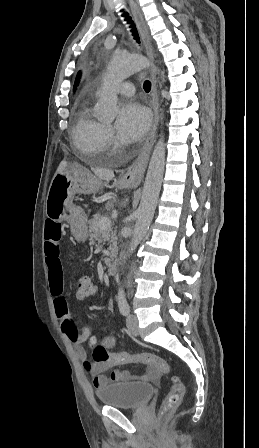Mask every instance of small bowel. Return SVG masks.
<instances>
[{"instance_id":"small-bowel-1","label":"small bowel","mask_w":259,"mask_h":448,"mask_svg":"<svg viewBox=\"0 0 259 448\" xmlns=\"http://www.w3.org/2000/svg\"><path fill=\"white\" fill-rule=\"evenodd\" d=\"M62 235L61 224L48 220L44 227V255L45 264L48 269L50 291L53 296V305L57 319L60 321L61 329L67 337L75 344L77 356L82 360L85 370L93 377V385L100 390L110 382L127 383L133 381H149L158 376V369L149 366L145 374H132L126 370H115L109 376L104 372L113 364L93 363L87 358V352L83 347L91 336V330L85 326L79 331L72 322L68 303L63 295L62 266L59 257V241ZM112 310V306L109 305ZM116 344L114 336H106L102 340V345L112 348Z\"/></svg>"}]
</instances>
